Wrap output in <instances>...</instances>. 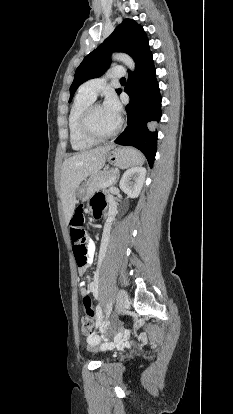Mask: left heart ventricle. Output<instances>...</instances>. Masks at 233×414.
<instances>
[{"label":"left heart ventricle","mask_w":233,"mask_h":414,"mask_svg":"<svg viewBox=\"0 0 233 414\" xmlns=\"http://www.w3.org/2000/svg\"><path fill=\"white\" fill-rule=\"evenodd\" d=\"M118 119L110 115L103 106H97L91 115L90 124L93 131L99 135L110 133L116 126Z\"/></svg>","instance_id":"1"}]
</instances>
